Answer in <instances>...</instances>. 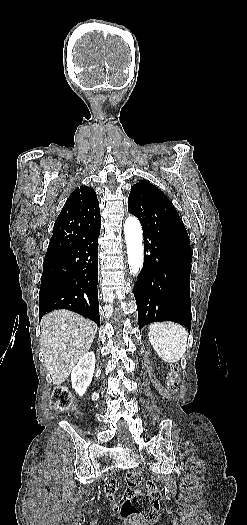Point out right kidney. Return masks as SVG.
<instances>
[{
    "mask_svg": "<svg viewBox=\"0 0 247 525\" xmlns=\"http://www.w3.org/2000/svg\"><path fill=\"white\" fill-rule=\"evenodd\" d=\"M95 363L96 359L93 351L86 353L84 357H81L71 373L72 387L79 397L85 395L87 387H89L94 377Z\"/></svg>",
    "mask_w": 247,
    "mask_h": 525,
    "instance_id": "1",
    "label": "right kidney"
}]
</instances>
